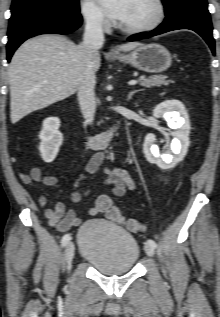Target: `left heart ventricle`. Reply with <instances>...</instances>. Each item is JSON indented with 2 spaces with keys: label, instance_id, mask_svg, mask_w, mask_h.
Instances as JSON below:
<instances>
[{
  "label": "left heart ventricle",
  "instance_id": "left-heart-ventricle-1",
  "mask_svg": "<svg viewBox=\"0 0 220 317\" xmlns=\"http://www.w3.org/2000/svg\"><path fill=\"white\" fill-rule=\"evenodd\" d=\"M156 15L152 0H131L127 14L121 23L123 26L136 27L151 22Z\"/></svg>",
  "mask_w": 220,
  "mask_h": 317
}]
</instances>
